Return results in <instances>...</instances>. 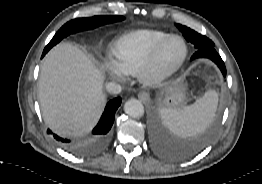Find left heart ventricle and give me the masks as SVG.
Here are the masks:
<instances>
[{"mask_svg":"<svg viewBox=\"0 0 262 184\" xmlns=\"http://www.w3.org/2000/svg\"><path fill=\"white\" fill-rule=\"evenodd\" d=\"M183 53V45L179 40H172L165 48L161 58L160 64L162 66H169L175 63Z\"/></svg>","mask_w":262,"mask_h":184,"instance_id":"left-heart-ventricle-1","label":"left heart ventricle"}]
</instances>
